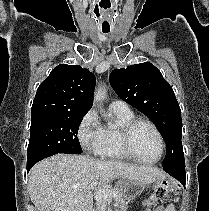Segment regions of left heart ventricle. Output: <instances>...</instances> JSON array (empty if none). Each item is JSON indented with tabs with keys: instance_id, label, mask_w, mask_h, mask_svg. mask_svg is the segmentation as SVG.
Segmentation results:
<instances>
[{
	"instance_id": "1",
	"label": "left heart ventricle",
	"mask_w": 209,
	"mask_h": 211,
	"mask_svg": "<svg viewBox=\"0 0 209 211\" xmlns=\"http://www.w3.org/2000/svg\"><path fill=\"white\" fill-rule=\"evenodd\" d=\"M132 149L144 161H153L159 156L160 143L150 126L141 124L136 128L132 137Z\"/></svg>"
}]
</instances>
